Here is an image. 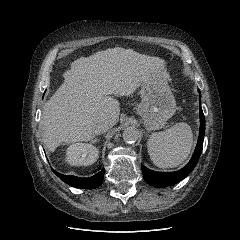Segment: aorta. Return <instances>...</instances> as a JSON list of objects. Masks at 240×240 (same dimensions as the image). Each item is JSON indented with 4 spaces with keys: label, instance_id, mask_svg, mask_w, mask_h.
I'll use <instances>...</instances> for the list:
<instances>
[{
    "label": "aorta",
    "instance_id": "1",
    "mask_svg": "<svg viewBox=\"0 0 240 240\" xmlns=\"http://www.w3.org/2000/svg\"><path fill=\"white\" fill-rule=\"evenodd\" d=\"M122 136H123V140L126 143L132 144V143H135L138 140L139 131L136 127L129 126V127L124 129Z\"/></svg>",
    "mask_w": 240,
    "mask_h": 240
}]
</instances>
